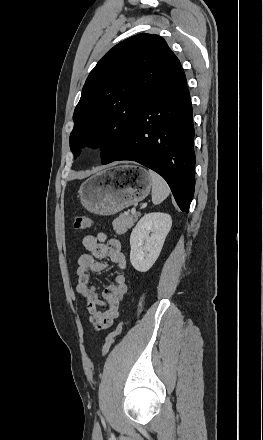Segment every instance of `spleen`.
Here are the masks:
<instances>
[{
    "label": "spleen",
    "mask_w": 263,
    "mask_h": 440,
    "mask_svg": "<svg viewBox=\"0 0 263 440\" xmlns=\"http://www.w3.org/2000/svg\"><path fill=\"white\" fill-rule=\"evenodd\" d=\"M148 174L152 182V201L158 205L169 196L170 188L163 177L156 172L149 170Z\"/></svg>",
    "instance_id": "spleen-1"
}]
</instances>
